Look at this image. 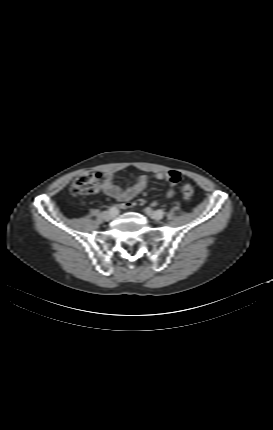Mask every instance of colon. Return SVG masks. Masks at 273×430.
Instances as JSON below:
<instances>
[{"label": "colon", "mask_w": 273, "mask_h": 430, "mask_svg": "<svg viewBox=\"0 0 273 430\" xmlns=\"http://www.w3.org/2000/svg\"><path fill=\"white\" fill-rule=\"evenodd\" d=\"M101 174L94 171H86L77 176L72 184V192L75 195H88L94 193L98 188ZM194 194V188L187 184L183 187V195L190 199Z\"/></svg>", "instance_id": "colon-1"}]
</instances>
